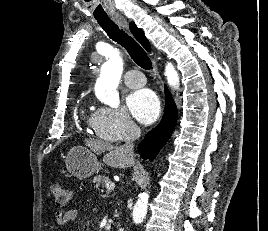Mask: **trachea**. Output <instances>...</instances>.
<instances>
[{
	"label": "trachea",
	"instance_id": "obj_1",
	"mask_svg": "<svg viewBox=\"0 0 268 231\" xmlns=\"http://www.w3.org/2000/svg\"><path fill=\"white\" fill-rule=\"evenodd\" d=\"M99 25L107 35L115 42L124 47L133 61L145 70L152 68V62L144 49L130 37L125 31L120 29L116 23L109 18L97 19Z\"/></svg>",
	"mask_w": 268,
	"mask_h": 231
}]
</instances>
